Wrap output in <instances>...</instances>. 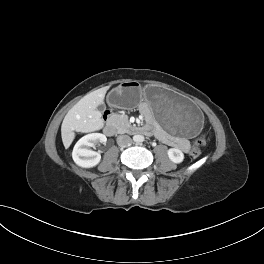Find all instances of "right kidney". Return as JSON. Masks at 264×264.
I'll return each mask as SVG.
<instances>
[{
  "instance_id": "ca27d5eb",
  "label": "right kidney",
  "mask_w": 264,
  "mask_h": 264,
  "mask_svg": "<svg viewBox=\"0 0 264 264\" xmlns=\"http://www.w3.org/2000/svg\"><path fill=\"white\" fill-rule=\"evenodd\" d=\"M106 141V136L101 133H91L83 136L73 148L72 158L74 162L83 168H92L96 166L101 160V155L91 150L90 147Z\"/></svg>"
}]
</instances>
